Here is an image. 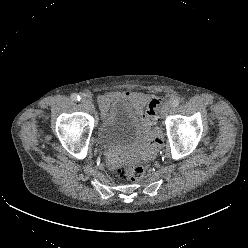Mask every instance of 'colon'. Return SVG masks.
<instances>
[{
	"label": "colon",
	"instance_id": "1",
	"mask_svg": "<svg viewBox=\"0 0 248 248\" xmlns=\"http://www.w3.org/2000/svg\"><path fill=\"white\" fill-rule=\"evenodd\" d=\"M158 103V99L154 98L146 110L145 118L150 125L155 124L157 120L156 107ZM144 173V165L138 162L119 164L115 167L116 176L125 181H137L143 177Z\"/></svg>",
	"mask_w": 248,
	"mask_h": 248
}]
</instances>
